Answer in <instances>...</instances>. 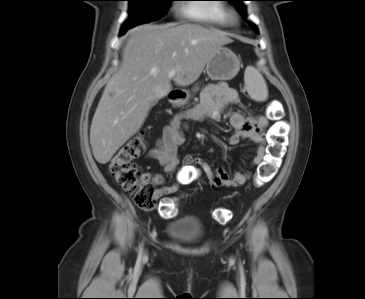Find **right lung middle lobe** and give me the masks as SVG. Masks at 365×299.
Masks as SVG:
<instances>
[{"mask_svg":"<svg viewBox=\"0 0 365 299\" xmlns=\"http://www.w3.org/2000/svg\"><path fill=\"white\" fill-rule=\"evenodd\" d=\"M130 1V18L123 28L149 22L163 16L164 11L173 0H128Z\"/></svg>","mask_w":365,"mask_h":299,"instance_id":"obj_1","label":"right lung middle lobe"}]
</instances>
